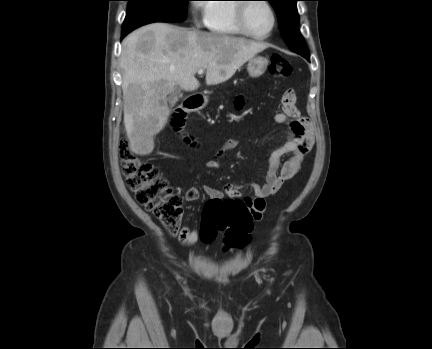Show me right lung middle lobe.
Segmentation results:
<instances>
[{"mask_svg":"<svg viewBox=\"0 0 432 349\" xmlns=\"http://www.w3.org/2000/svg\"><path fill=\"white\" fill-rule=\"evenodd\" d=\"M122 33L153 22H181L186 19L190 0H127Z\"/></svg>","mask_w":432,"mask_h":349,"instance_id":"1","label":"right lung middle lobe"}]
</instances>
